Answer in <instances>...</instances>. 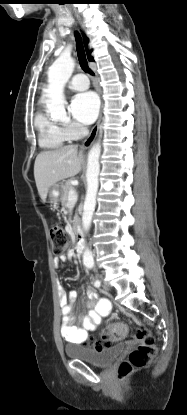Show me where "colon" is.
<instances>
[{"mask_svg": "<svg viewBox=\"0 0 187 415\" xmlns=\"http://www.w3.org/2000/svg\"><path fill=\"white\" fill-rule=\"evenodd\" d=\"M52 250L55 255H61L70 245V237L60 225L50 228ZM126 336V327L123 323L115 322L107 327L100 340L93 343L95 349H103L121 340ZM131 337L140 341V344L129 354L128 358L119 365L120 377H126L134 368H142L148 364L156 352L155 340L148 328L138 322L131 329Z\"/></svg>", "mask_w": 187, "mask_h": 415, "instance_id": "5ec220e1", "label": "colon"}]
</instances>
